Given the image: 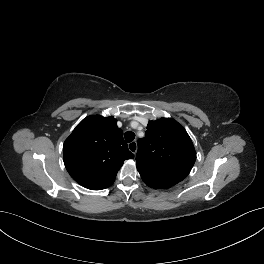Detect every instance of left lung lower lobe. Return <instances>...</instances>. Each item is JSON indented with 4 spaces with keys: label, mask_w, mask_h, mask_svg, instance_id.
Masks as SVG:
<instances>
[{
    "label": "left lung lower lobe",
    "mask_w": 264,
    "mask_h": 264,
    "mask_svg": "<svg viewBox=\"0 0 264 264\" xmlns=\"http://www.w3.org/2000/svg\"><path fill=\"white\" fill-rule=\"evenodd\" d=\"M140 175L146 185L151 188H169L178 183L162 169H152Z\"/></svg>",
    "instance_id": "obj_1"
}]
</instances>
